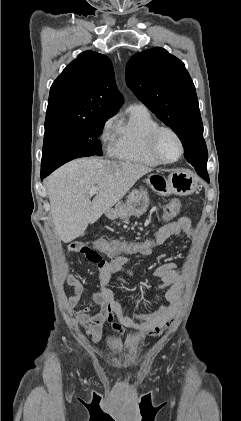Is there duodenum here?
I'll return each instance as SVG.
<instances>
[{
  "label": "duodenum",
  "mask_w": 241,
  "mask_h": 421,
  "mask_svg": "<svg viewBox=\"0 0 241 421\" xmlns=\"http://www.w3.org/2000/svg\"><path fill=\"white\" fill-rule=\"evenodd\" d=\"M110 214H111V211H106V212H105V215H106V216H109Z\"/></svg>",
  "instance_id": "obj_1"
}]
</instances>
